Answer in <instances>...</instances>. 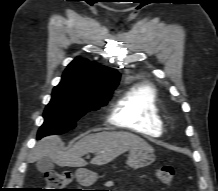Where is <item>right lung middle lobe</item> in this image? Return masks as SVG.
<instances>
[{
  "label": "right lung middle lobe",
  "mask_w": 218,
  "mask_h": 191,
  "mask_svg": "<svg viewBox=\"0 0 218 191\" xmlns=\"http://www.w3.org/2000/svg\"><path fill=\"white\" fill-rule=\"evenodd\" d=\"M111 96H83L55 87L50 103L44 111V123L38 131V139L62 134L76 126L85 113L107 104Z\"/></svg>",
  "instance_id": "obj_1"
}]
</instances>
